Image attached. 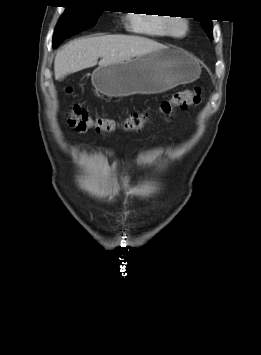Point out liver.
Here are the masks:
<instances>
[{
  "label": "liver",
  "mask_w": 261,
  "mask_h": 355,
  "mask_svg": "<svg viewBox=\"0 0 261 355\" xmlns=\"http://www.w3.org/2000/svg\"><path fill=\"white\" fill-rule=\"evenodd\" d=\"M164 45L140 36L106 35L83 37L70 41L54 61L55 79L97 65L119 63L140 56Z\"/></svg>",
  "instance_id": "obj_1"
}]
</instances>
